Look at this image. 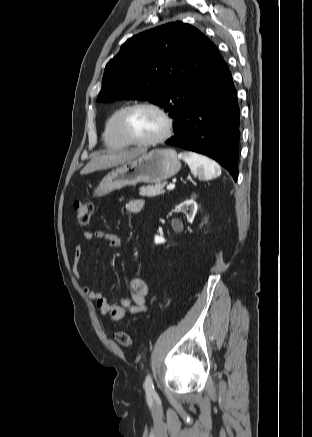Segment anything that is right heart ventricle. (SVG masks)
Here are the masks:
<instances>
[{"label": "right heart ventricle", "instance_id": "1", "mask_svg": "<svg viewBox=\"0 0 312 437\" xmlns=\"http://www.w3.org/2000/svg\"><path fill=\"white\" fill-rule=\"evenodd\" d=\"M127 106H121L117 108L106 120L103 139L107 147L111 149H123L130 144L122 137L119 132L118 122L121 113Z\"/></svg>", "mask_w": 312, "mask_h": 437}]
</instances>
